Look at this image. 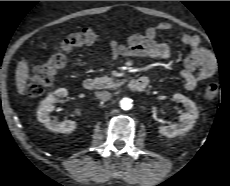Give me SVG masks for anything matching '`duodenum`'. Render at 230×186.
Segmentation results:
<instances>
[{
    "mask_svg": "<svg viewBox=\"0 0 230 186\" xmlns=\"http://www.w3.org/2000/svg\"><path fill=\"white\" fill-rule=\"evenodd\" d=\"M149 84V80L146 77H141L137 79H130L128 81V87L131 91L140 92L146 89ZM83 88L86 91H93L96 88V82L94 79L88 78L83 82Z\"/></svg>",
    "mask_w": 230,
    "mask_h": 186,
    "instance_id": "duodenum-1",
    "label": "duodenum"
}]
</instances>
